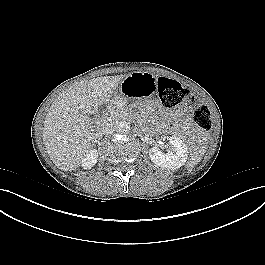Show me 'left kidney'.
I'll list each match as a JSON object with an SVG mask.
<instances>
[{"label":"left kidney","mask_w":265,"mask_h":265,"mask_svg":"<svg viewBox=\"0 0 265 265\" xmlns=\"http://www.w3.org/2000/svg\"><path fill=\"white\" fill-rule=\"evenodd\" d=\"M172 149L167 153L162 152L158 147L149 150L151 161L163 168L178 169L183 166L188 158V148L183 141L175 136L169 138Z\"/></svg>","instance_id":"5707ae66"}]
</instances>
